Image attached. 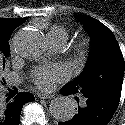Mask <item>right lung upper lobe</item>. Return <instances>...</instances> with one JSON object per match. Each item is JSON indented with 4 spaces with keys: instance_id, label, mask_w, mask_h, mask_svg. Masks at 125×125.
<instances>
[{
    "instance_id": "obj_1",
    "label": "right lung upper lobe",
    "mask_w": 125,
    "mask_h": 125,
    "mask_svg": "<svg viewBox=\"0 0 125 125\" xmlns=\"http://www.w3.org/2000/svg\"><path fill=\"white\" fill-rule=\"evenodd\" d=\"M25 21L26 18H20V19L0 18V30H9L13 32L19 25L23 24Z\"/></svg>"
}]
</instances>
